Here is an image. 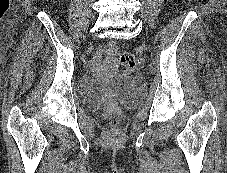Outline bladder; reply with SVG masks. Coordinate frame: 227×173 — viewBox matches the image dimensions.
<instances>
[{"label":"bladder","instance_id":"31cf9c89","mask_svg":"<svg viewBox=\"0 0 227 173\" xmlns=\"http://www.w3.org/2000/svg\"><path fill=\"white\" fill-rule=\"evenodd\" d=\"M78 97L83 107L97 109L107 100L125 106L138 104L145 92L143 79L133 73H116L107 76L85 75L78 82Z\"/></svg>","mask_w":227,"mask_h":173}]
</instances>
